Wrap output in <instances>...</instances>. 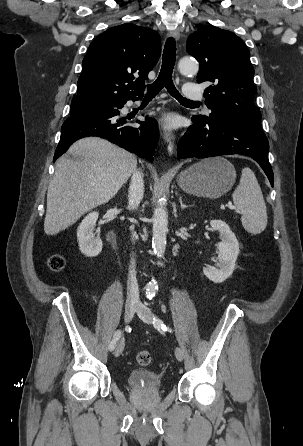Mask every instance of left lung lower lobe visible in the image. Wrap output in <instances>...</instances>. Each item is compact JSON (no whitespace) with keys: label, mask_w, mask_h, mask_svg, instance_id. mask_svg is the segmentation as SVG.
<instances>
[{"label":"left lung lower lobe","mask_w":303,"mask_h":446,"mask_svg":"<svg viewBox=\"0 0 303 446\" xmlns=\"http://www.w3.org/2000/svg\"><path fill=\"white\" fill-rule=\"evenodd\" d=\"M178 145V156L207 158L220 155L242 154L259 163L273 186V171L268 160L269 143L265 135H258L220 120L201 122L192 118Z\"/></svg>","instance_id":"obj_1"}]
</instances>
